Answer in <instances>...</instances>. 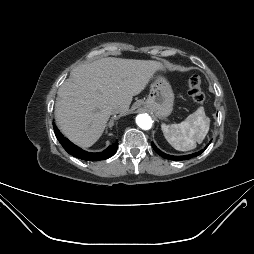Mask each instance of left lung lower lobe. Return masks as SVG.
<instances>
[{
    "mask_svg": "<svg viewBox=\"0 0 254 254\" xmlns=\"http://www.w3.org/2000/svg\"><path fill=\"white\" fill-rule=\"evenodd\" d=\"M152 147L153 149L155 150V152L157 154H159L161 157L165 158V159H169V160H175V161H179V160H187V159H190L192 157H196L198 155H200L203 151H199L197 153H193V154H190V155H184V156H172V155H168V154H165L163 153L162 151H160L155 145L154 143L152 142ZM208 147V145L205 147V149Z\"/></svg>",
    "mask_w": 254,
    "mask_h": 254,
    "instance_id": "obj_1",
    "label": "left lung lower lobe"
}]
</instances>
